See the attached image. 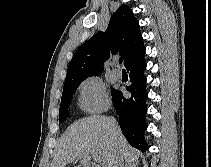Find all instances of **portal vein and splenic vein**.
<instances>
[{
	"label": "portal vein and splenic vein",
	"mask_w": 211,
	"mask_h": 167,
	"mask_svg": "<svg viewBox=\"0 0 211 167\" xmlns=\"http://www.w3.org/2000/svg\"><path fill=\"white\" fill-rule=\"evenodd\" d=\"M92 157L96 162L101 163V157L98 154L93 153ZM96 167H103V166H102V164H99Z\"/></svg>",
	"instance_id": "1"
}]
</instances>
